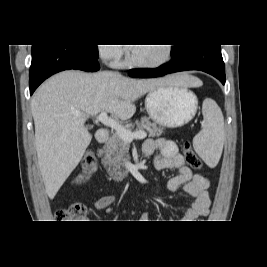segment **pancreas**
Returning <instances> with one entry per match:
<instances>
[{"instance_id": "1", "label": "pancreas", "mask_w": 267, "mask_h": 267, "mask_svg": "<svg viewBox=\"0 0 267 267\" xmlns=\"http://www.w3.org/2000/svg\"><path fill=\"white\" fill-rule=\"evenodd\" d=\"M136 125L140 130H147L150 137L160 136L163 133V128L158 127L155 123L149 122L147 118H143L140 123L137 121ZM126 129L131 131L133 126H127ZM103 149L105 155L102 163L109 175H121L124 162L126 161L125 156L128 153L126 142L117 133H114L106 142Z\"/></svg>"}]
</instances>
